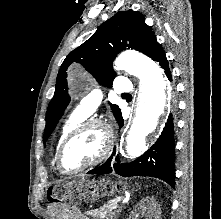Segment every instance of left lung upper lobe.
Listing matches in <instances>:
<instances>
[{
  "mask_svg": "<svg viewBox=\"0 0 221 219\" xmlns=\"http://www.w3.org/2000/svg\"><path fill=\"white\" fill-rule=\"evenodd\" d=\"M159 45L151 27L145 23L143 14L132 9L118 11L102 23L92 37L71 51L62 63L55 93L46 113L43 140L46 141L51 135L70 102L66 70L72 62L80 63L100 84L110 87L115 77L112 63L119 52L131 48L152 57ZM110 105L119 122L122 119L121 110L117 105Z\"/></svg>",
  "mask_w": 221,
  "mask_h": 219,
  "instance_id": "obj_1",
  "label": "left lung upper lobe"
}]
</instances>
